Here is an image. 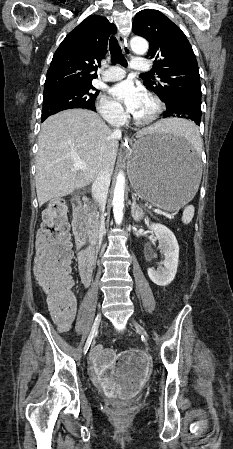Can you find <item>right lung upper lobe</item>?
<instances>
[{
    "instance_id": "obj_1",
    "label": "right lung upper lobe",
    "mask_w": 233,
    "mask_h": 449,
    "mask_svg": "<svg viewBox=\"0 0 233 449\" xmlns=\"http://www.w3.org/2000/svg\"><path fill=\"white\" fill-rule=\"evenodd\" d=\"M116 27L105 17L90 16L72 30L56 50L47 71L44 92L92 85L93 73L106 54L108 38Z\"/></svg>"
}]
</instances>
